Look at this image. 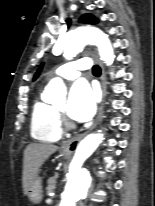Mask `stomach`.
Listing matches in <instances>:
<instances>
[{"label":"stomach","instance_id":"obj_1","mask_svg":"<svg viewBox=\"0 0 155 206\" xmlns=\"http://www.w3.org/2000/svg\"><path fill=\"white\" fill-rule=\"evenodd\" d=\"M61 156L67 158L69 156V153L61 152ZM27 195L30 201H32L33 203L41 202L43 197V191H42V180L40 177L38 176L34 177L28 189Z\"/></svg>","mask_w":155,"mask_h":206}]
</instances>
